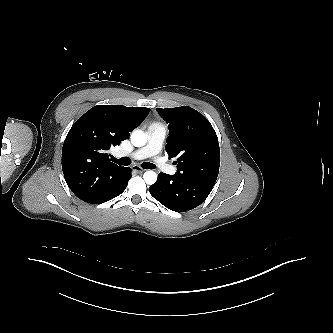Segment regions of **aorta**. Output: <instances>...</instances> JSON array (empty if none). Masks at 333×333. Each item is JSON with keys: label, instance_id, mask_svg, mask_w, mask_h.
<instances>
[{"label": "aorta", "instance_id": "aorta-1", "mask_svg": "<svg viewBox=\"0 0 333 333\" xmlns=\"http://www.w3.org/2000/svg\"><path fill=\"white\" fill-rule=\"evenodd\" d=\"M147 142V136L142 130H134L131 134V143L135 147H142ZM144 181L148 185H152L157 180V174L154 171H146L143 175Z\"/></svg>", "mask_w": 333, "mask_h": 333}]
</instances>
